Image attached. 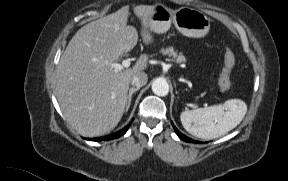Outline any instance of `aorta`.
<instances>
[{
    "mask_svg": "<svg viewBox=\"0 0 288 181\" xmlns=\"http://www.w3.org/2000/svg\"><path fill=\"white\" fill-rule=\"evenodd\" d=\"M152 91L157 96H166L169 93V85L163 78H157L152 83Z\"/></svg>",
    "mask_w": 288,
    "mask_h": 181,
    "instance_id": "1",
    "label": "aorta"
}]
</instances>
